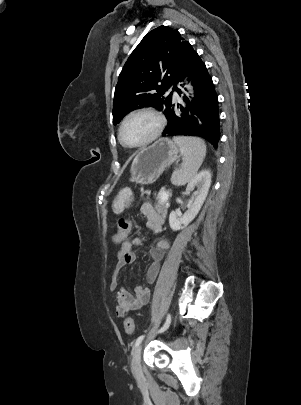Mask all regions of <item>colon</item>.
<instances>
[{
    "instance_id": "colon-1",
    "label": "colon",
    "mask_w": 301,
    "mask_h": 405,
    "mask_svg": "<svg viewBox=\"0 0 301 405\" xmlns=\"http://www.w3.org/2000/svg\"><path fill=\"white\" fill-rule=\"evenodd\" d=\"M133 227V222L131 220L120 218L117 221V233H114L111 237V242L115 247H121L125 238L129 234ZM124 328L127 334L132 335L135 330L134 320L131 317H127L124 320Z\"/></svg>"
}]
</instances>
